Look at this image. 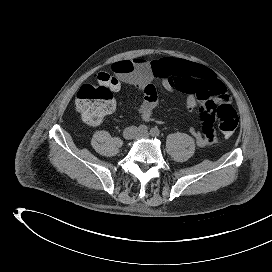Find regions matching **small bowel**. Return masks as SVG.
<instances>
[{
    "instance_id": "obj_1",
    "label": "small bowel",
    "mask_w": 272,
    "mask_h": 272,
    "mask_svg": "<svg viewBox=\"0 0 272 272\" xmlns=\"http://www.w3.org/2000/svg\"><path fill=\"white\" fill-rule=\"evenodd\" d=\"M120 82L130 84L144 97L140 105L133 110L145 121L153 120V111L158 105V93L153 81L161 80L162 87L168 91H180L185 96V106L193 111L200 110V131L191 128L190 133L200 147L211 145L217 138V116L219 102L230 100L224 83L210 68L198 63L179 58H162L156 61L144 59L121 60L112 65ZM115 110V103L108 114Z\"/></svg>"
}]
</instances>
